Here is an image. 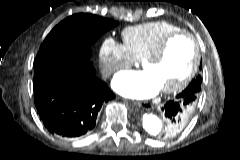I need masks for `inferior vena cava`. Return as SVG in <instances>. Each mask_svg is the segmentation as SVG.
<instances>
[{"label": "inferior vena cava", "mask_w": 240, "mask_h": 160, "mask_svg": "<svg viewBox=\"0 0 240 160\" xmlns=\"http://www.w3.org/2000/svg\"><path fill=\"white\" fill-rule=\"evenodd\" d=\"M112 73H113V70H112V69H105V70L103 71V75H104L105 77L110 76Z\"/></svg>", "instance_id": "602c4592"}]
</instances>
